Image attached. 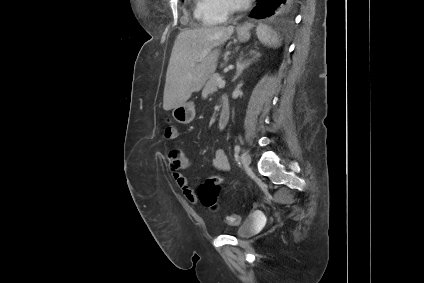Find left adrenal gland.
Segmentation results:
<instances>
[{
	"label": "left adrenal gland",
	"instance_id": "a2214340",
	"mask_svg": "<svg viewBox=\"0 0 424 283\" xmlns=\"http://www.w3.org/2000/svg\"><path fill=\"white\" fill-rule=\"evenodd\" d=\"M250 53L254 54V57L252 58V60L244 61V62H241L240 60L237 62L236 75L234 76L233 81H236L238 79V77L243 73L244 69L248 68L254 59H257L258 57H260V54L256 53V51H251Z\"/></svg>",
	"mask_w": 424,
	"mask_h": 283
}]
</instances>
